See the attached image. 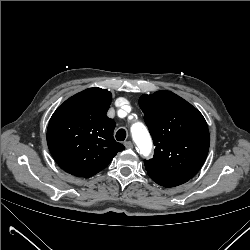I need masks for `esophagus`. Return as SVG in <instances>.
Returning <instances> with one entry per match:
<instances>
[{
	"mask_svg": "<svg viewBox=\"0 0 250 250\" xmlns=\"http://www.w3.org/2000/svg\"><path fill=\"white\" fill-rule=\"evenodd\" d=\"M124 145L127 149H132L133 148V143L131 141H126L124 142Z\"/></svg>",
	"mask_w": 250,
	"mask_h": 250,
	"instance_id": "34e87169",
	"label": "esophagus"
}]
</instances>
